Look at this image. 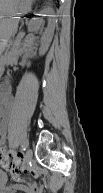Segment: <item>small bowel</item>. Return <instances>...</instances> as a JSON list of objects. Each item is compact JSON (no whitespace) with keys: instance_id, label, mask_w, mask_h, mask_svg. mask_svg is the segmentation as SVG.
Masks as SVG:
<instances>
[{"instance_id":"small-bowel-1","label":"small bowel","mask_w":103,"mask_h":193,"mask_svg":"<svg viewBox=\"0 0 103 193\" xmlns=\"http://www.w3.org/2000/svg\"><path fill=\"white\" fill-rule=\"evenodd\" d=\"M12 104V95L5 93L2 101L3 112L0 123V136L2 145H5L8 139L7 118ZM14 180L16 181V184H9L7 174L0 172V182L3 193H43L42 185H36L32 181L24 179L19 175H15Z\"/></svg>"}]
</instances>
